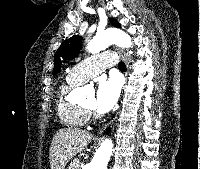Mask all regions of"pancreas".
<instances>
[{
  "label": "pancreas",
  "mask_w": 200,
  "mask_h": 169,
  "mask_svg": "<svg viewBox=\"0 0 200 169\" xmlns=\"http://www.w3.org/2000/svg\"><path fill=\"white\" fill-rule=\"evenodd\" d=\"M80 161L78 158H75L69 165L68 169H79Z\"/></svg>",
  "instance_id": "cf45deb5"
}]
</instances>
